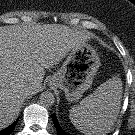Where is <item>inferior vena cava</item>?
Wrapping results in <instances>:
<instances>
[{"label": "inferior vena cava", "mask_w": 135, "mask_h": 135, "mask_svg": "<svg viewBox=\"0 0 135 135\" xmlns=\"http://www.w3.org/2000/svg\"><path fill=\"white\" fill-rule=\"evenodd\" d=\"M31 88H32L31 85H29L28 87L25 88V90H26L27 92H29V91L31 90Z\"/></svg>", "instance_id": "obj_1"}]
</instances>
